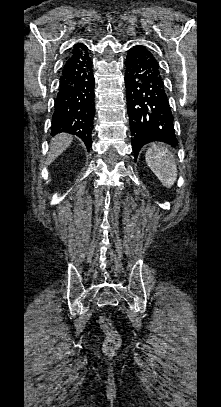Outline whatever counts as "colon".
<instances>
[{
	"instance_id": "obj_1",
	"label": "colon",
	"mask_w": 221,
	"mask_h": 407,
	"mask_svg": "<svg viewBox=\"0 0 221 407\" xmlns=\"http://www.w3.org/2000/svg\"><path fill=\"white\" fill-rule=\"evenodd\" d=\"M100 327L105 334L104 352L107 356H112L120 345L121 336L106 317L100 319Z\"/></svg>"
}]
</instances>
